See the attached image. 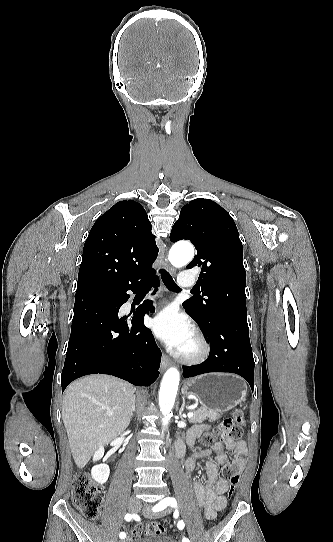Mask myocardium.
Here are the masks:
<instances>
[{
    "label": "myocardium",
    "mask_w": 333,
    "mask_h": 542,
    "mask_svg": "<svg viewBox=\"0 0 333 542\" xmlns=\"http://www.w3.org/2000/svg\"><path fill=\"white\" fill-rule=\"evenodd\" d=\"M194 338L196 345L194 352L190 354L176 353L174 354L176 360L184 364L196 365L204 362L209 357L210 346L202 332L195 331Z\"/></svg>",
    "instance_id": "obj_1"
}]
</instances>
